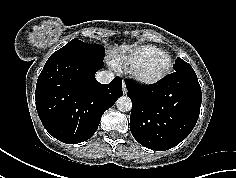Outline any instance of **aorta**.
Wrapping results in <instances>:
<instances>
[{
    "mask_svg": "<svg viewBox=\"0 0 236 178\" xmlns=\"http://www.w3.org/2000/svg\"><path fill=\"white\" fill-rule=\"evenodd\" d=\"M117 109L121 112H128L132 109V101L127 96H122L116 101Z\"/></svg>",
    "mask_w": 236,
    "mask_h": 178,
    "instance_id": "762f6f07",
    "label": "aorta"
}]
</instances>
